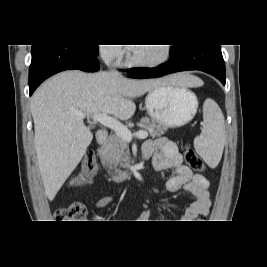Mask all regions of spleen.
Listing matches in <instances>:
<instances>
[{
    "label": "spleen",
    "instance_id": "3e777b00",
    "mask_svg": "<svg viewBox=\"0 0 267 267\" xmlns=\"http://www.w3.org/2000/svg\"><path fill=\"white\" fill-rule=\"evenodd\" d=\"M224 142V116L220 108L217 105L205 108L202 132L194 140L197 153L214 168L221 160Z\"/></svg>",
    "mask_w": 267,
    "mask_h": 267
}]
</instances>
